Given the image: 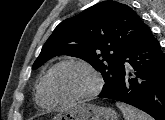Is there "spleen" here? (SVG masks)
Here are the masks:
<instances>
[{
    "mask_svg": "<svg viewBox=\"0 0 165 120\" xmlns=\"http://www.w3.org/2000/svg\"><path fill=\"white\" fill-rule=\"evenodd\" d=\"M117 107L122 111L125 120H153L146 113L124 103H116Z\"/></svg>",
    "mask_w": 165,
    "mask_h": 120,
    "instance_id": "1",
    "label": "spleen"
}]
</instances>
